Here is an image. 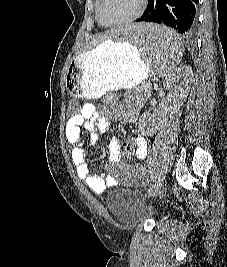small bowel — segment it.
Wrapping results in <instances>:
<instances>
[{
    "mask_svg": "<svg viewBox=\"0 0 227 267\" xmlns=\"http://www.w3.org/2000/svg\"><path fill=\"white\" fill-rule=\"evenodd\" d=\"M120 111L116 116L124 122H136L140 105L129 99L120 100ZM111 113L106 109H98L93 104H85L80 115H71L65 126V137L72 146V161L77 175L92 191L103 192L106 188L118 183V179L111 173L100 175L86 158V140L81 135V127L90 133V142L95 143L98 136L106 133L110 128ZM109 153L112 161L122 160L121 143L112 139L109 143ZM125 147L139 160L148 156V142L141 136L130 137Z\"/></svg>",
    "mask_w": 227,
    "mask_h": 267,
    "instance_id": "small-bowel-1",
    "label": "small bowel"
}]
</instances>
